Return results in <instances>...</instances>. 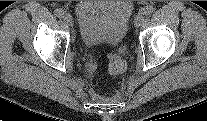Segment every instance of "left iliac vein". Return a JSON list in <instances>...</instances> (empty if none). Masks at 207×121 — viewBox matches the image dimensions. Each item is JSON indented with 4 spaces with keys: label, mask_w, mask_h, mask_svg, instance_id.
Listing matches in <instances>:
<instances>
[{
    "label": "left iliac vein",
    "mask_w": 207,
    "mask_h": 121,
    "mask_svg": "<svg viewBox=\"0 0 207 121\" xmlns=\"http://www.w3.org/2000/svg\"><path fill=\"white\" fill-rule=\"evenodd\" d=\"M144 21V16L142 13H138L135 17V26L139 27Z\"/></svg>",
    "instance_id": "left-iliac-vein-1"
}]
</instances>
